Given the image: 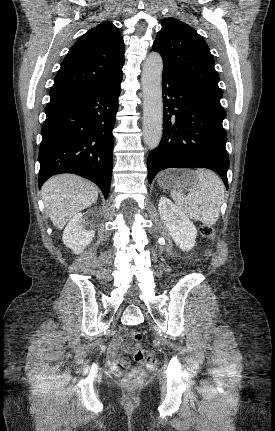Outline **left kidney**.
Instances as JSON below:
<instances>
[{"label": "left kidney", "mask_w": 275, "mask_h": 431, "mask_svg": "<svg viewBox=\"0 0 275 431\" xmlns=\"http://www.w3.org/2000/svg\"><path fill=\"white\" fill-rule=\"evenodd\" d=\"M158 210L166 229L176 245L183 251L195 246L197 229L193 222L168 198L161 197Z\"/></svg>", "instance_id": "obj_1"}]
</instances>
